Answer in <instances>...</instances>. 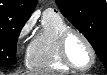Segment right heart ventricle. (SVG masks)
I'll list each match as a JSON object with an SVG mask.
<instances>
[{
    "label": "right heart ventricle",
    "instance_id": "obj_1",
    "mask_svg": "<svg viewBox=\"0 0 107 75\" xmlns=\"http://www.w3.org/2000/svg\"><path fill=\"white\" fill-rule=\"evenodd\" d=\"M69 28L63 17L46 10L41 18L40 27L33 37L26 55V67L37 72L69 71L59 54V37Z\"/></svg>",
    "mask_w": 107,
    "mask_h": 75
}]
</instances>
